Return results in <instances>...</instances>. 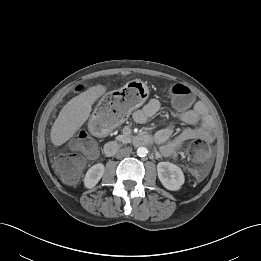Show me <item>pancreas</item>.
<instances>
[{"label":"pancreas","mask_w":261,"mask_h":261,"mask_svg":"<svg viewBox=\"0 0 261 261\" xmlns=\"http://www.w3.org/2000/svg\"><path fill=\"white\" fill-rule=\"evenodd\" d=\"M117 141H120L122 143H129L131 141V136L129 134H122V135H118L116 137Z\"/></svg>","instance_id":"1"}]
</instances>
